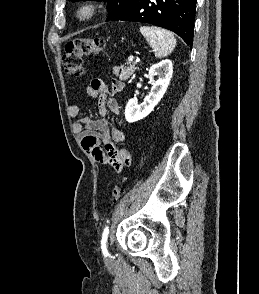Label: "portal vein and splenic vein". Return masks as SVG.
Wrapping results in <instances>:
<instances>
[{"instance_id":"portal-vein-and-splenic-vein-1","label":"portal vein and splenic vein","mask_w":259,"mask_h":294,"mask_svg":"<svg viewBox=\"0 0 259 294\" xmlns=\"http://www.w3.org/2000/svg\"><path fill=\"white\" fill-rule=\"evenodd\" d=\"M133 59H134V57H133V56H130V57L128 58V61L131 62V61H133Z\"/></svg>"}]
</instances>
